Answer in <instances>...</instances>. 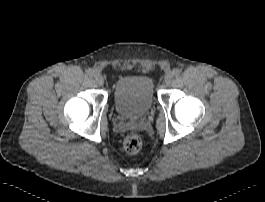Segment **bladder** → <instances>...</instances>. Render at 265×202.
Returning a JSON list of instances; mask_svg holds the SVG:
<instances>
[{
  "label": "bladder",
  "instance_id": "bladder-1",
  "mask_svg": "<svg viewBox=\"0 0 265 202\" xmlns=\"http://www.w3.org/2000/svg\"><path fill=\"white\" fill-rule=\"evenodd\" d=\"M156 99L154 82L148 76H127L117 80L113 103L123 118H136L148 112Z\"/></svg>",
  "mask_w": 265,
  "mask_h": 202
}]
</instances>
